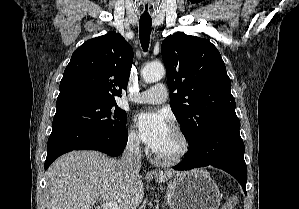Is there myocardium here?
I'll list each match as a JSON object with an SVG mask.
<instances>
[{"mask_svg":"<svg viewBox=\"0 0 299 209\" xmlns=\"http://www.w3.org/2000/svg\"><path fill=\"white\" fill-rule=\"evenodd\" d=\"M171 130L176 134L180 141V148L178 151H176L174 154L171 155H160L156 152H152L153 159L165 166L174 165L182 162L190 153L191 151V140L187 133L178 125H173L171 127Z\"/></svg>","mask_w":299,"mask_h":209,"instance_id":"obj_1","label":"myocardium"}]
</instances>
